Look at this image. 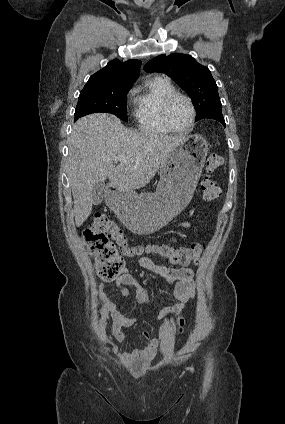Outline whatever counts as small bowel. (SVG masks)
<instances>
[{
  "label": "small bowel",
  "instance_id": "c3829d8e",
  "mask_svg": "<svg viewBox=\"0 0 285 424\" xmlns=\"http://www.w3.org/2000/svg\"><path fill=\"white\" fill-rule=\"evenodd\" d=\"M178 227L187 229L191 227V223L189 221H182L178 224ZM170 241L175 243L177 242V238L173 237ZM137 261L142 268L160 276L167 284H169L171 287V294L177 300V303L165 306L158 310L156 319L161 320L171 314L179 316L182 313L185 303L196 294L194 271L190 268H171L144 255L138 256ZM114 282L121 296L128 297L130 295V291L127 286H134L136 288V300L139 304L144 305L153 303L148 290L134 279L127 268H124L122 273L114 280ZM164 299L165 297H162L159 302H163ZM99 303V312L103 317L101 326L105 327L106 321L109 320L112 324L111 334L113 339L118 343L126 342L127 338L122 330L125 327L134 325L137 320L118 310L115 304L107 298L104 293V283H101L99 286ZM183 326L184 320L179 318L176 328L177 333L182 332ZM144 337L145 342L141 351L148 355L155 353L159 346V340L157 338L150 337L149 332H145ZM111 346L117 355L119 362L124 365L129 364L139 353L138 350L120 351L118 346L113 342L111 343Z\"/></svg>",
  "mask_w": 285,
  "mask_h": 424
}]
</instances>
